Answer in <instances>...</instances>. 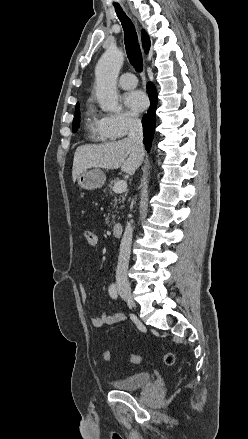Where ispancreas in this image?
I'll return each instance as SVG.
<instances>
[{
    "label": "pancreas",
    "instance_id": "obj_1",
    "mask_svg": "<svg viewBox=\"0 0 248 439\" xmlns=\"http://www.w3.org/2000/svg\"><path fill=\"white\" fill-rule=\"evenodd\" d=\"M117 182H119V179H118V178H116V179H111V180L109 181V184L107 185V187H109V188H113V186H114ZM106 191H107V188L104 189V192H106ZM120 201H121L120 198H115V199H114L113 208H117V204H118V202H120ZM112 218L115 219V215H112ZM108 222H109V221H108V219H107V222H106V223H108ZM113 223H115L114 220H113Z\"/></svg>",
    "mask_w": 248,
    "mask_h": 439
}]
</instances>
